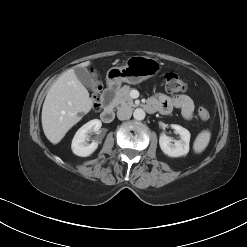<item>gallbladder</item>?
I'll return each instance as SVG.
<instances>
[{"mask_svg":"<svg viewBox=\"0 0 247 247\" xmlns=\"http://www.w3.org/2000/svg\"><path fill=\"white\" fill-rule=\"evenodd\" d=\"M74 71H75L77 78L82 82L84 86H86L88 89L94 88L95 82L86 68L75 67Z\"/></svg>","mask_w":247,"mask_h":247,"instance_id":"gallbladder-1","label":"gallbladder"}]
</instances>
